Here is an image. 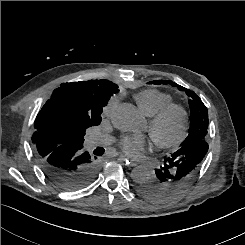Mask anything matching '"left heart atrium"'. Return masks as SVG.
Segmentation results:
<instances>
[{
    "instance_id": "39dd6f15",
    "label": "left heart atrium",
    "mask_w": 245,
    "mask_h": 245,
    "mask_svg": "<svg viewBox=\"0 0 245 245\" xmlns=\"http://www.w3.org/2000/svg\"><path fill=\"white\" fill-rule=\"evenodd\" d=\"M120 147L127 156L139 159L142 158L146 152L150 151L151 144L146 137L134 135L122 138Z\"/></svg>"
}]
</instances>
